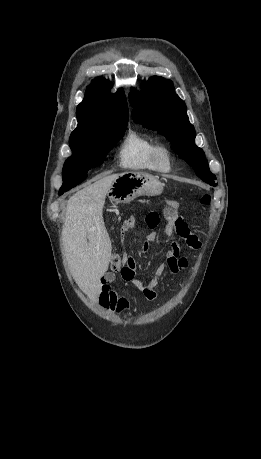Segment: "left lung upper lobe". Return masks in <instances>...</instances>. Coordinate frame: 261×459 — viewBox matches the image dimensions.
I'll list each match as a JSON object with an SVG mask.
<instances>
[{"instance_id": "5c2ea615", "label": "left lung upper lobe", "mask_w": 261, "mask_h": 459, "mask_svg": "<svg viewBox=\"0 0 261 459\" xmlns=\"http://www.w3.org/2000/svg\"><path fill=\"white\" fill-rule=\"evenodd\" d=\"M129 100L135 122L163 134L197 176L216 186V177L209 170L205 153L195 145V130L189 122L186 105L176 95L172 81L152 77L145 83L144 91L131 89Z\"/></svg>"}]
</instances>
